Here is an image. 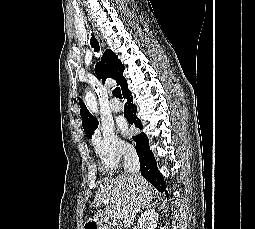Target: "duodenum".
Wrapping results in <instances>:
<instances>
[{
  "label": "duodenum",
  "instance_id": "duodenum-1",
  "mask_svg": "<svg viewBox=\"0 0 255 229\" xmlns=\"http://www.w3.org/2000/svg\"><path fill=\"white\" fill-rule=\"evenodd\" d=\"M99 228L98 229H119L116 225H113V224H101L98 226Z\"/></svg>",
  "mask_w": 255,
  "mask_h": 229
}]
</instances>
